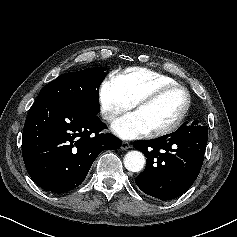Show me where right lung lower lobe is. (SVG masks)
Returning a JSON list of instances; mask_svg holds the SVG:
<instances>
[{
    "label": "right lung lower lobe",
    "mask_w": 237,
    "mask_h": 237,
    "mask_svg": "<svg viewBox=\"0 0 237 237\" xmlns=\"http://www.w3.org/2000/svg\"><path fill=\"white\" fill-rule=\"evenodd\" d=\"M106 125L97 115L85 114L52 100H36L27 115L22 155L28 174L42 189L70 191L86 178L103 150H115L121 140L99 133Z\"/></svg>",
    "instance_id": "98d812e1"
}]
</instances>
